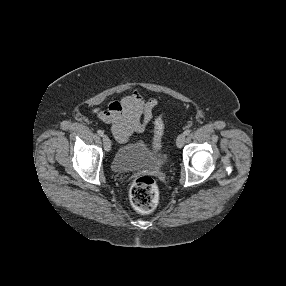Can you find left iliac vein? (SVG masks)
I'll list each match as a JSON object with an SVG mask.
<instances>
[{"mask_svg":"<svg viewBox=\"0 0 286 286\" xmlns=\"http://www.w3.org/2000/svg\"><path fill=\"white\" fill-rule=\"evenodd\" d=\"M185 138H186V136H185L184 133L180 134V135L177 137L176 145H177L178 148H182V147H183V145H184V143H185Z\"/></svg>","mask_w":286,"mask_h":286,"instance_id":"obj_1","label":"left iliac vein"}]
</instances>
